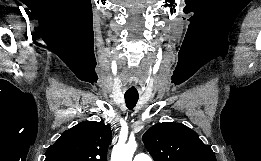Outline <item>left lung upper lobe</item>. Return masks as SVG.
Here are the masks:
<instances>
[{
    "label": "left lung upper lobe",
    "mask_w": 261,
    "mask_h": 161,
    "mask_svg": "<svg viewBox=\"0 0 261 161\" xmlns=\"http://www.w3.org/2000/svg\"><path fill=\"white\" fill-rule=\"evenodd\" d=\"M142 139L154 161H216L211 146L181 123H158Z\"/></svg>",
    "instance_id": "1"
}]
</instances>
